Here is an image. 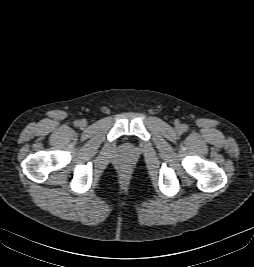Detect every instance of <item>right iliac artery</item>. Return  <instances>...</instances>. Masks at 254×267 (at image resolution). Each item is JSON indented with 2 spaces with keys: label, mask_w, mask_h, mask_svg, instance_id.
Listing matches in <instances>:
<instances>
[{
  "label": "right iliac artery",
  "mask_w": 254,
  "mask_h": 267,
  "mask_svg": "<svg viewBox=\"0 0 254 267\" xmlns=\"http://www.w3.org/2000/svg\"><path fill=\"white\" fill-rule=\"evenodd\" d=\"M74 125H75V126H79V125H80V121H78V120L75 121V122H74Z\"/></svg>",
  "instance_id": "right-iliac-artery-1"
}]
</instances>
